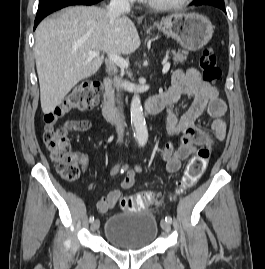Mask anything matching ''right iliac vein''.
I'll return each instance as SVG.
<instances>
[{"label": "right iliac vein", "instance_id": "right-iliac-vein-1", "mask_svg": "<svg viewBox=\"0 0 265 269\" xmlns=\"http://www.w3.org/2000/svg\"><path fill=\"white\" fill-rule=\"evenodd\" d=\"M99 226H100V221L98 219H96L91 224V230L95 231L99 228Z\"/></svg>", "mask_w": 265, "mask_h": 269}]
</instances>
